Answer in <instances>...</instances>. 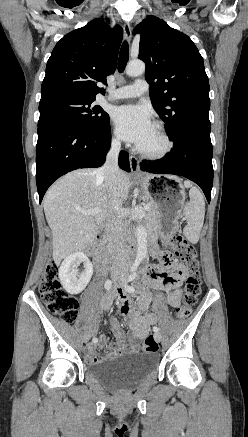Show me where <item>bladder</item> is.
<instances>
[{
	"label": "bladder",
	"mask_w": 248,
	"mask_h": 437,
	"mask_svg": "<svg viewBox=\"0 0 248 437\" xmlns=\"http://www.w3.org/2000/svg\"><path fill=\"white\" fill-rule=\"evenodd\" d=\"M157 361L154 353H128L92 364L87 373L111 390L127 391L151 374Z\"/></svg>",
	"instance_id": "31cf9c89"
}]
</instances>
